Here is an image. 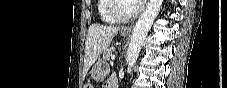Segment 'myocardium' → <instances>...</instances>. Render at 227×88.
Segmentation results:
<instances>
[{"label": "myocardium", "instance_id": "1", "mask_svg": "<svg viewBox=\"0 0 227 88\" xmlns=\"http://www.w3.org/2000/svg\"><path fill=\"white\" fill-rule=\"evenodd\" d=\"M120 1H132V0H109L108 12L117 22H125L130 19H133L137 17L139 13L142 11V7L139 5H136L133 12L127 15H122L117 10V3Z\"/></svg>", "mask_w": 227, "mask_h": 88}]
</instances>
